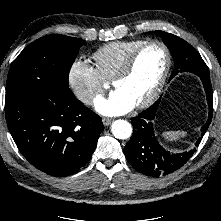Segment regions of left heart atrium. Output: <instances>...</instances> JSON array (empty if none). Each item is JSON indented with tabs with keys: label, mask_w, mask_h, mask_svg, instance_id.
<instances>
[{
	"label": "left heart atrium",
	"mask_w": 221,
	"mask_h": 221,
	"mask_svg": "<svg viewBox=\"0 0 221 221\" xmlns=\"http://www.w3.org/2000/svg\"><path fill=\"white\" fill-rule=\"evenodd\" d=\"M134 107L135 103L119 89H116L107 98H99L95 103L96 110L107 116L121 115Z\"/></svg>",
	"instance_id": "1"
}]
</instances>
